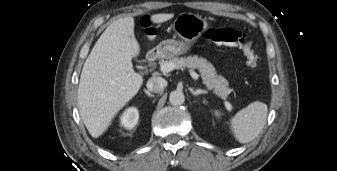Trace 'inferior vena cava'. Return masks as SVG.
<instances>
[{
	"label": "inferior vena cava",
	"instance_id": "602c4592",
	"mask_svg": "<svg viewBox=\"0 0 337 171\" xmlns=\"http://www.w3.org/2000/svg\"><path fill=\"white\" fill-rule=\"evenodd\" d=\"M147 89L154 93L162 92L166 86L165 79L161 77H151L147 81Z\"/></svg>",
	"mask_w": 337,
	"mask_h": 171
}]
</instances>
